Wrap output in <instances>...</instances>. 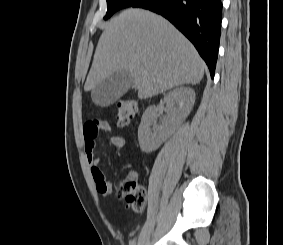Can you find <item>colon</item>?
Listing matches in <instances>:
<instances>
[{
  "instance_id": "5ec220e1",
  "label": "colon",
  "mask_w": 283,
  "mask_h": 245,
  "mask_svg": "<svg viewBox=\"0 0 283 245\" xmlns=\"http://www.w3.org/2000/svg\"><path fill=\"white\" fill-rule=\"evenodd\" d=\"M137 102L134 99L118 101L114 107L117 126L121 129L130 126L137 112ZM117 195L125 199L127 204L135 211H141L146 205L147 193L145 188L134 179L127 177L117 186Z\"/></svg>"
}]
</instances>
